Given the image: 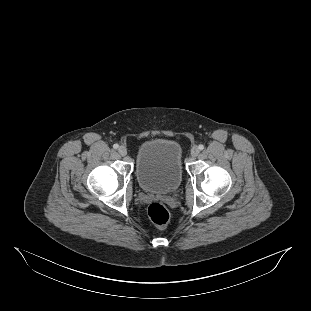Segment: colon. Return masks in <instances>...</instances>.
<instances>
[{
	"mask_svg": "<svg viewBox=\"0 0 311 311\" xmlns=\"http://www.w3.org/2000/svg\"><path fill=\"white\" fill-rule=\"evenodd\" d=\"M148 215L151 221L158 227L164 228L170 220L168 209L159 202H154L148 207Z\"/></svg>",
	"mask_w": 311,
	"mask_h": 311,
	"instance_id": "obj_1",
	"label": "colon"
}]
</instances>
